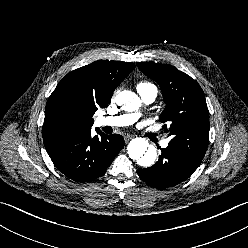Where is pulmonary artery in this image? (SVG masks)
Segmentation results:
<instances>
[{
	"mask_svg": "<svg viewBox=\"0 0 248 248\" xmlns=\"http://www.w3.org/2000/svg\"><path fill=\"white\" fill-rule=\"evenodd\" d=\"M143 102L145 104H151L155 101L158 91L155 86H150L144 90H138ZM139 117L138 113H131V114H123L119 116H108V117H99L96 120V124L100 127L104 126H111V127H118V126H127L134 123ZM169 141L163 140L161 146L166 148L168 146Z\"/></svg>",
	"mask_w": 248,
	"mask_h": 248,
	"instance_id": "obj_1",
	"label": "pulmonary artery"
}]
</instances>
